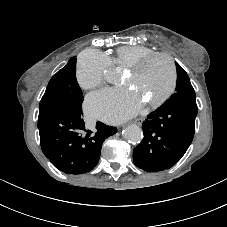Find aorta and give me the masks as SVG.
<instances>
[{"label": "aorta", "instance_id": "1", "mask_svg": "<svg viewBox=\"0 0 227 227\" xmlns=\"http://www.w3.org/2000/svg\"><path fill=\"white\" fill-rule=\"evenodd\" d=\"M123 136L129 142L133 144H138L143 139V131L139 126L132 124L124 128Z\"/></svg>", "mask_w": 227, "mask_h": 227}]
</instances>
